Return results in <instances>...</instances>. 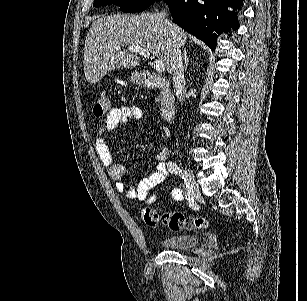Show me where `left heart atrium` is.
Segmentation results:
<instances>
[{"label":"left heart atrium","mask_w":307,"mask_h":301,"mask_svg":"<svg viewBox=\"0 0 307 301\" xmlns=\"http://www.w3.org/2000/svg\"><path fill=\"white\" fill-rule=\"evenodd\" d=\"M162 62H175V61H162Z\"/></svg>","instance_id":"obj_1"}]
</instances>
